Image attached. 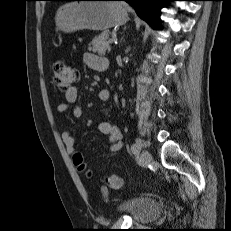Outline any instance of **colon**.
<instances>
[{
	"instance_id": "5ec220e1",
	"label": "colon",
	"mask_w": 231,
	"mask_h": 231,
	"mask_svg": "<svg viewBox=\"0 0 231 231\" xmlns=\"http://www.w3.org/2000/svg\"><path fill=\"white\" fill-rule=\"evenodd\" d=\"M53 77L57 88L66 91L78 81L79 72L75 67L65 62H56L53 65ZM74 161L80 169L84 168L82 155L76 154ZM105 183L111 189H118L123 185V178L120 175L112 174L105 178Z\"/></svg>"
}]
</instances>
